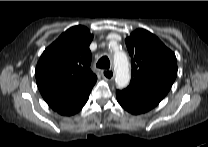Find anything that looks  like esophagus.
Wrapping results in <instances>:
<instances>
[{
	"instance_id": "34e87169",
	"label": "esophagus",
	"mask_w": 208,
	"mask_h": 147,
	"mask_svg": "<svg viewBox=\"0 0 208 147\" xmlns=\"http://www.w3.org/2000/svg\"><path fill=\"white\" fill-rule=\"evenodd\" d=\"M102 76L106 80L112 81L114 79L115 73H114L113 69L103 70L102 71Z\"/></svg>"
}]
</instances>
